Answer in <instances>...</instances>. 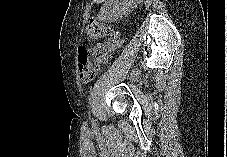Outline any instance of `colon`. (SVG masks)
Returning <instances> with one entry per match:
<instances>
[{
    "label": "colon",
    "mask_w": 227,
    "mask_h": 157,
    "mask_svg": "<svg viewBox=\"0 0 227 157\" xmlns=\"http://www.w3.org/2000/svg\"><path fill=\"white\" fill-rule=\"evenodd\" d=\"M87 38L90 41L101 40L92 46L81 47L78 52V68L80 80L83 83L91 81L102 63H105L121 47L122 36L120 31L100 22L91 19L86 27Z\"/></svg>",
    "instance_id": "colon-1"
}]
</instances>
